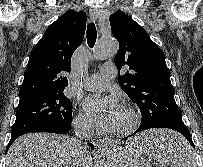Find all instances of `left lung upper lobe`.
<instances>
[{
  "mask_svg": "<svg viewBox=\"0 0 203 167\" xmlns=\"http://www.w3.org/2000/svg\"><path fill=\"white\" fill-rule=\"evenodd\" d=\"M110 25L120 45L115 65L119 72L122 68L130 70L123 75L119 73L118 82L141 111L140 127L184 124L174 99L164 52L124 12L113 13Z\"/></svg>",
  "mask_w": 203,
  "mask_h": 167,
  "instance_id": "1",
  "label": "left lung upper lobe"
}]
</instances>
